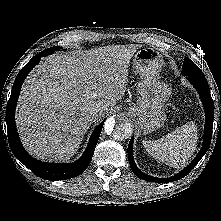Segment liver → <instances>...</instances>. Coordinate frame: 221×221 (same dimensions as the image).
<instances>
[{"instance_id":"liver-1","label":"liver","mask_w":221,"mask_h":221,"mask_svg":"<svg viewBox=\"0 0 221 221\" xmlns=\"http://www.w3.org/2000/svg\"><path fill=\"white\" fill-rule=\"evenodd\" d=\"M140 45H108L53 55L25 80L16 124L24 147L39 159L67 161L91 123L125 94L130 60ZM94 112L99 113L92 120Z\"/></svg>"}]
</instances>
